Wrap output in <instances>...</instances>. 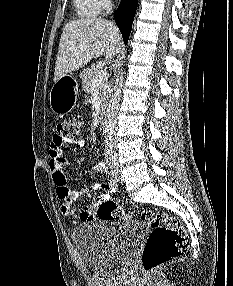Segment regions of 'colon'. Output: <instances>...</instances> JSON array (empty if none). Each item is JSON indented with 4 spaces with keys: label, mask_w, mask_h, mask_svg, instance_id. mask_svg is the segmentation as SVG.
Returning <instances> with one entry per match:
<instances>
[{
    "label": "colon",
    "mask_w": 233,
    "mask_h": 286,
    "mask_svg": "<svg viewBox=\"0 0 233 286\" xmlns=\"http://www.w3.org/2000/svg\"><path fill=\"white\" fill-rule=\"evenodd\" d=\"M83 119L73 116L58 123L56 136L68 142L80 140ZM96 216L102 220H124L130 218L115 202L107 200L96 207ZM141 219L151 229L144 247L141 263L144 271L151 272L180 256L189 245V237L181 221L171 215L154 210H146Z\"/></svg>",
    "instance_id": "5ec220e1"
}]
</instances>
